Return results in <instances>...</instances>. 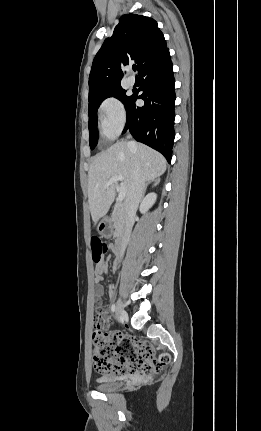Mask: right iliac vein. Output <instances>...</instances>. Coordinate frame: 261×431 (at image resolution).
I'll list each match as a JSON object with an SVG mask.
<instances>
[{"label": "right iliac vein", "mask_w": 261, "mask_h": 431, "mask_svg": "<svg viewBox=\"0 0 261 431\" xmlns=\"http://www.w3.org/2000/svg\"><path fill=\"white\" fill-rule=\"evenodd\" d=\"M126 317H127V314H126V311L124 310V305L121 299H119L116 304V319L120 320L122 318L125 319Z\"/></svg>", "instance_id": "63e3f726"}]
</instances>
